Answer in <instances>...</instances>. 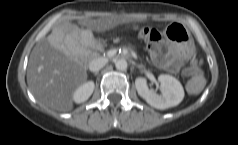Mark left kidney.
Wrapping results in <instances>:
<instances>
[{"label": "left kidney", "instance_id": "left-kidney-1", "mask_svg": "<svg viewBox=\"0 0 238 145\" xmlns=\"http://www.w3.org/2000/svg\"><path fill=\"white\" fill-rule=\"evenodd\" d=\"M158 80L161 83V94H157L148 88L146 78H136L135 86L138 94L149 105L157 109L177 106L184 98V89L181 83L167 74L159 75Z\"/></svg>", "mask_w": 238, "mask_h": 145}]
</instances>
